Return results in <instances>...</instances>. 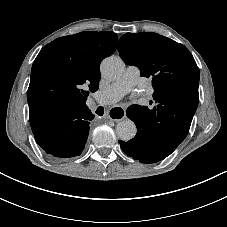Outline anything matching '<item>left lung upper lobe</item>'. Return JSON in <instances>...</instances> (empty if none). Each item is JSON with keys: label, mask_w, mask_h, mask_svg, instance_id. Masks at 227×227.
Wrapping results in <instances>:
<instances>
[{"label": "left lung upper lobe", "mask_w": 227, "mask_h": 227, "mask_svg": "<svg viewBox=\"0 0 227 227\" xmlns=\"http://www.w3.org/2000/svg\"><path fill=\"white\" fill-rule=\"evenodd\" d=\"M118 51L126 64L139 67L141 76L152 78L156 103L197 108L200 72L184 45L153 32L126 33Z\"/></svg>", "instance_id": "5c2ea615"}]
</instances>
